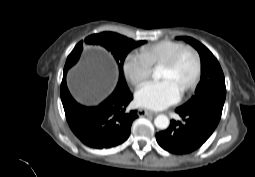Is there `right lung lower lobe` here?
<instances>
[{
	"label": "right lung lower lobe",
	"mask_w": 255,
	"mask_h": 177,
	"mask_svg": "<svg viewBox=\"0 0 255 177\" xmlns=\"http://www.w3.org/2000/svg\"><path fill=\"white\" fill-rule=\"evenodd\" d=\"M64 70L61 83V100L67 122L73 133L86 146L108 149L122 144L130 135L137 111H126L133 99L127 86L117 84L113 93L97 106H84L69 93Z\"/></svg>",
	"instance_id": "1"
}]
</instances>
